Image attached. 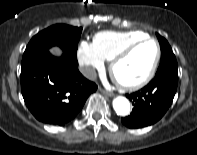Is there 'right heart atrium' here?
<instances>
[{"mask_svg": "<svg viewBox=\"0 0 197 155\" xmlns=\"http://www.w3.org/2000/svg\"><path fill=\"white\" fill-rule=\"evenodd\" d=\"M77 57L83 74L87 78H91L96 70H101L104 67V58L99 54L93 43L81 41Z\"/></svg>", "mask_w": 197, "mask_h": 155, "instance_id": "1", "label": "right heart atrium"}]
</instances>
